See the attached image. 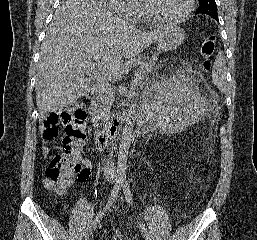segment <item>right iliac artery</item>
Instances as JSON below:
<instances>
[{"instance_id":"82829eb1","label":"right iliac artery","mask_w":257,"mask_h":240,"mask_svg":"<svg viewBox=\"0 0 257 240\" xmlns=\"http://www.w3.org/2000/svg\"><path fill=\"white\" fill-rule=\"evenodd\" d=\"M120 184L121 182L119 180H116L115 185L112 189L111 195L108 199L107 204L105 205V207L103 208L102 211H100L96 217L94 218V220L92 221L91 225L89 226L86 234H85V240H88L90 235L92 234V231L95 229L97 223L100 221V219L103 217V215L110 210L111 205L115 202V200L118 197L119 194V190H120Z\"/></svg>"}]
</instances>
